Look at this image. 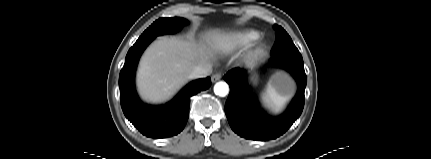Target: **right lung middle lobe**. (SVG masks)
Here are the masks:
<instances>
[{
    "label": "right lung middle lobe",
    "instance_id": "dd1d6c3e",
    "mask_svg": "<svg viewBox=\"0 0 431 159\" xmlns=\"http://www.w3.org/2000/svg\"><path fill=\"white\" fill-rule=\"evenodd\" d=\"M186 24H188V21L180 17L160 18L153 22V24L143 32L139 39L155 38L159 35L175 33Z\"/></svg>",
    "mask_w": 431,
    "mask_h": 159
}]
</instances>
